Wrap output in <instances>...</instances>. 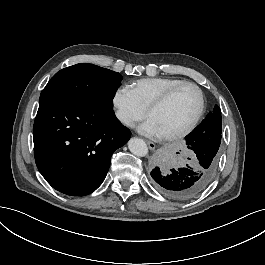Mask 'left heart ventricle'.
Instances as JSON below:
<instances>
[{"mask_svg": "<svg viewBox=\"0 0 265 265\" xmlns=\"http://www.w3.org/2000/svg\"><path fill=\"white\" fill-rule=\"evenodd\" d=\"M199 107L196 90L186 87L176 94L163 108L150 114L162 136L174 134L184 129L195 117Z\"/></svg>", "mask_w": 265, "mask_h": 265, "instance_id": "b2bd125f", "label": "left heart ventricle"}]
</instances>
